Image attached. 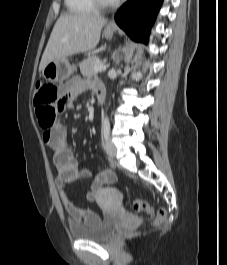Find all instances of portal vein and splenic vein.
<instances>
[{
	"mask_svg": "<svg viewBox=\"0 0 227 265\" xmlns=\"http://www.w3.org/2000/svg\"><path fill=\"white\" fill-rule=\"evenodd\" d=\"M107 67H108V65H104V64H102V65H96L94 67V71L95 72H101V71H104Z\"/></svg>",
	"mask_w": 227,
	"mask_h": 265,
	"instance_id": "18ae733b",
	"label": "portal vein and splenic vein"
}]
</instances>
